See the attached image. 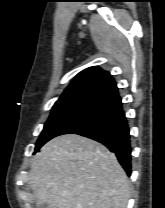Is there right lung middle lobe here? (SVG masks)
<instances>
[{
  "instance_id": "obj_1",
  "label": "right lung middle lobe",
  "mask_w": 165,
  "mask_h": 208,
  "mask_svg": "<svg viewBox=\"0 0 165 208\" xmlns=\"http://www.w3.org/2000/svg\"><path fill=\"white\" fill-rule=\"evenodd\" d=\"M93 107L85 105L53 106L49 119L36 143L35 152L50 139L60 135L65 129L81 119Z\"/></svg>"
}]
</instances>
